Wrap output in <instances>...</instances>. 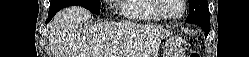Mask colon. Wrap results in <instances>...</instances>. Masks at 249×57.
<instances>
[{"mask_svg":"<svg viewBox=\"0 0 249 57\" xmlns=\"http://www.w3.org/2000/svg\"><path fill=\"white\" fill-rule=\"evenodd\" d=\"M190 57H199V55L197 52H193V53H191Z\"/></svg>","mask_w":249,"mask_h":57,"instance_id":"1","label":"colon"}]
</instances>
